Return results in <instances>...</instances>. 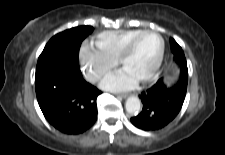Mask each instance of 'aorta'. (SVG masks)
I'll use <instances>...</instances> for the list:
<instances>
[{"mask_svg":"<svg viewBox=\"0 0 225 155\" xmlns=\"http://www.w3.org/2000/svg\"><path fill=\"white\" fill-rule=\"evenodd\" d=\"M125 108H126V111L129 114L137 115L140 112V109H141L140 99L138 97H135V96L129 97L126 100Z\"/></svg>","mask_w":225,"mask_h":155,"instance_id":"obj_1","label":"aorta"}]
</instances>
